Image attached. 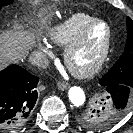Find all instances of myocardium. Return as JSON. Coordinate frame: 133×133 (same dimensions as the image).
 Wrapping results in <instances>:
<instances>
[{"instance_id":"f54148a6","label":"myocardium","mask_w":133,"mask_h":133,"mask_svg":"<svg viewBox=\"0 0 133 133\" xmlns=\"http://www.w3.org/2000/svg\"><path fill=\"white\" fill-rule=\"evenodd\" d=\"M96 24H102L106 28V38L103 49L100 52L96 61L91 66H89L86 69L76 68L72 63V57L74 53L79 49V47L84 43L85 38L89 33L90 29ZM111 44H112L111 26L108 24V22H106L103 19L94 18L90 22H88L79 32V34L65 47L63 54L64 63L74 76L82 79L90 78L96 75L105 65L110 53Z\"/></svg>"}]
</instances>
